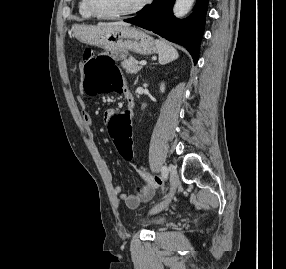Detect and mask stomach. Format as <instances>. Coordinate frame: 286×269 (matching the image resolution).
Masks as SVG:
<instances>
[{
	"mask_svg": "<svg viewBox=\"0 0 286 269\" xmlns=\"http://www.w3.org/2000/svg\"><path fill=\"white\" fill-rule=\"evenodd\" d=\"M72 30L74 37L80 42L104 50L130 49L141 55H150L157 51L154 39L135 27L75 24Z\"/></svg>",
	"mask_w": 286,
	"mask_h": 269,
	"instance_id": "obj_1",
	"label": "stomach"
}]
</instances>
